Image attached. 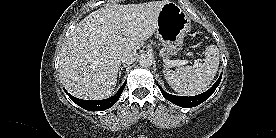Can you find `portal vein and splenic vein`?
<instances>
[{"label": "portal vein and splenic vein", "mask_w": 276, "mask_h": 138, "mask_svg": "<svg viewBox=\"0 0 276 138\" xmlns=\"http://www.w3.org/2000/svg\"><path fill=\"white\" fill-rule=\"evenodd\" d=\"M168 65H173V66H182L188 63L187 60H181V61H165ZM196 65H198V62L196 61Z\"/></svg>", "instance_id": "obj_1"}]
</instances>
